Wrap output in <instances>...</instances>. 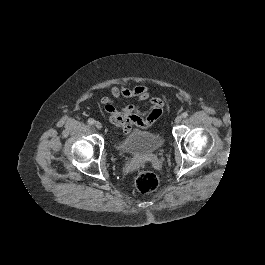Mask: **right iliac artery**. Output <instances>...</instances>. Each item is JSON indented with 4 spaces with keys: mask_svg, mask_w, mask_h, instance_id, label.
<instances>
[{
    "mask_svg": "<svg viewBox=\"0 0 265 265\" xmlns=\"http://www.w3.org/2000/svg\"><path fill=\"white\" fill-rule=\"evenodd\" d=\"M88 123H89L90 125H93V124L95 123V120L92 119V118H90V119H88Z\"/></svg>",
    "mask_w": 265,
    "mask_h": 265,
    "instance_id": "82829eb1",
    "label": "right iliac artery"
}]
</instances>
